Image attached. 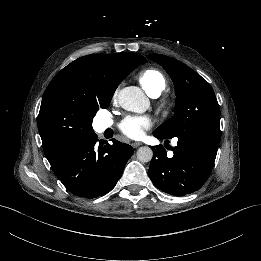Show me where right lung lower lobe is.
I'll use <instances>...</instances> for the list:
<instances>
[{
  "instance_id": "98d812e1",
  "label": "right lung lower lobe",
  "mask_w": 261,
  "mask_h": 261,
  "mask_svg": "<svg viewBox=\"0 0 261 261\" xmlns=\"http://www.w3.org/2000/svg\"><path fill=\"white\" fill-rule=\"evenodd\" d=\"M97 141L95 135L50 163L62 184L76 196L93 199L112 190L133 153L130 145L115 139L113 144L100 141L97 145Z\"/></svg>"
}]
</instances>
